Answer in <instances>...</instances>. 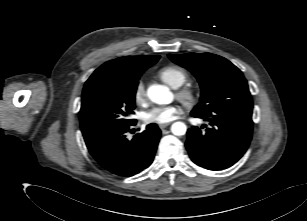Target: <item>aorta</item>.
<instances>
[{
    "instance_id": "762f6f07",
    "label": "aorta",
    "mask_w": 307,
    "mask_h": 221,
    "mask_svg": "<svg viewBox=\"0 0 307 221\" xmlns=\"http://www.w3.org/2000/svg\"><path fill=\"white\" fill-rule=\"evenodd\" d=\"M149 99L158 104L166 105L172 102L173 95L168 87L163 85H152L147 90ZM187 127L183 122H175L171 126V132L176 136H181L186 133Z\"/></svg>"
}]
</instances>
